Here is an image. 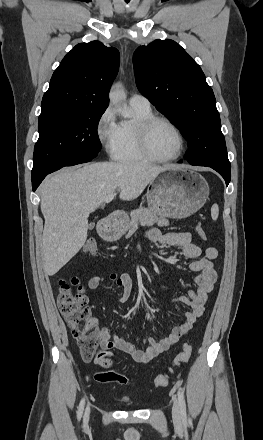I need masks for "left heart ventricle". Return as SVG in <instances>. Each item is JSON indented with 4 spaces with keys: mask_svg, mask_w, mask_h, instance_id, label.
<instances>
[{
    "mask_svg": "<svg viewBox=\"0 0 263 440\" xmlns=\"http://www.w3.org/2000/svg\"><path fill=\"white\" fill-rule=\"evenodd\" d=\"M151 152L159 157L174 156L179 149V138L176 132L165 122H157L148 135Z\"/></svg>",
    "mask_w": 263,
    "mask_h": 440,
    "instance_id": "left-heart-ventricle-1",
    "label": "left heart ventricle"
}]
</instances>
